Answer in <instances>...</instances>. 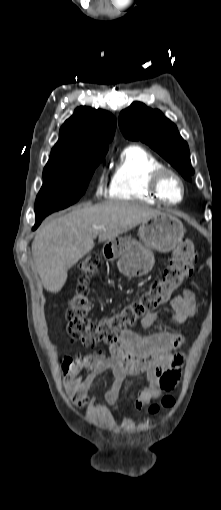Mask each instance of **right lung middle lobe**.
I'll return each instance as SVG.
<instances>
[{
    "label": "right lung middle lobe",
    "instance_id": "right-lung-middle-lobe-1",
    "mask_svg": "<svg viewBox=\"0 0 221 510\" xmlns=\"http://www.w3.org/2000/svg\"><path fill=\"white\" fill-rule=\"evenodd\" d=\"M106 153L104 150L48 161L35 202V216H47L77 202Z\"/></svg>",
    "mask_w": 221,
    "mask_h": 510
}]
</instances>
